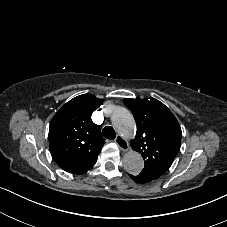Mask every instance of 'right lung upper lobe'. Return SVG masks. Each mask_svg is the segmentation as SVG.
Here are the masks:
<instances>
[{
	"mask_svg": "<svg viewBox=\"0 0 227 227\" xmlns=\"http://www.w3.org/2000/svg\"><path fill=\"white\" fill-rule=\"evenodd\" d=\"M102 103L103 99L83 94L63 105L53 117L49 127L50 152L63 170L83 174L96 163L105 139L91 115Z\"/></svg>",
	"mask_w": 227,
	"mask_h": 227,
	"instance_id": "cb5924a9",
	"label": "right lung upper lobe"
}]
</instances>
